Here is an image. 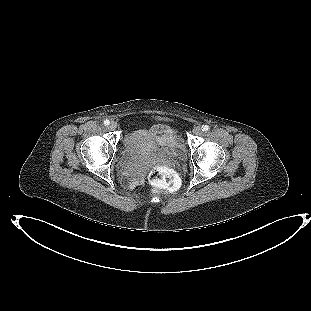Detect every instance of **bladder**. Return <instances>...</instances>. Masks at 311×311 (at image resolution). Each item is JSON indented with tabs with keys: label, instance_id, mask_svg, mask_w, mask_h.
I'll use <instances>...</instances> for the list:
<instances>
[{
	"label": "bladder",
	"instance_id": "bladder-1",
	"mask_svg": "<svg viewBox=\"0 0 311 311\" xmlns=\"http://www.w3.org/2000/svg\"><path fill=\"white\" fill-rule=\"evenodd\" d=\"M170 131V137L173 138L177 144H176V155L178 157L184 156V147L179 139L178 136L174 135L171 130ZM151 138V132L148 130H134L126 134L124 138V150L129 153H134L138 149V147L143 144L146 141H149ZM149 149H155V144H148Z\"/></svg>",
	"mask_w": 311,
	"mask_h": 311
}]
</instances>
